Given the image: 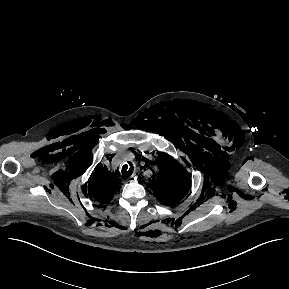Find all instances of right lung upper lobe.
<instances>
[{"instance_id": "cb5924a9", "label": "right lung upper lobe", "mask_w": 289, "mask_h": 289, "mask_svg": "<svg viewBox=\"0 0 289 289\" xmlns=\"http://www.w3.org/2000/svg\"><path fill=\"white\" fill-rule=\"evenodd\" d=\"M95 169V174L88 180L89 197L102 204L108 203L119 190L121 182L118 181V177H114V173H111L102 165H97ZM84 190L87 195L86 188Z\"/></svg>"}]
</instances>
